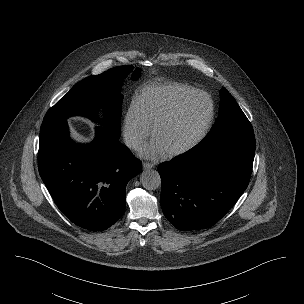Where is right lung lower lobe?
I'll list each match as a JSON object with an SVG mask.
<instances>
[{"mask_svg": "<svg viewBox=\"0 0 304 304\" xmlns=\"http://www.w3.org/2000/svg\"><path fill=\"white\" fill-rule=\"evenodd\" d=\"M38 169L53 200L74 224L105 230L125 212L128 181L141 161L105 127L94 141L74 144L66 120L41 126Z\"/></svg>", "mask_w": 304, "mask_h": 304, "instance_id": "98d812e1", "label": "right lung lower lobe"}]
</instances>
